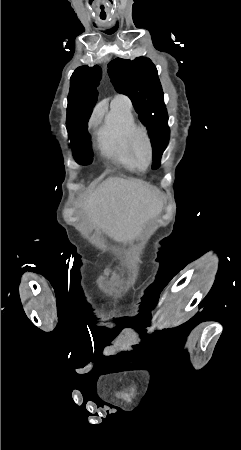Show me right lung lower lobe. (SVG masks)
Returning <instances> with one entry per match:
<instances>
[{"mask_svg": "<svg viewBox=\"0 0 241 450\" xmlns=\"http://www.w3.org/2000/svg\"><path fill=\"white\" fill-rule=\"evenodd\" d=\"M91 112L82 114L74 124L73 131L70 135L71 139L74 141L73 153L91 146L87 132V122Z\"/></svg>", "mask_w": 241, "mask_h": 450, "instance_id": "98d812e1", "label": "right lung lower lobe"}]
</instances>
